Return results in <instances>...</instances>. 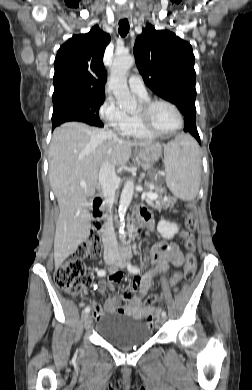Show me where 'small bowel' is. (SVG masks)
Wrapping results in <instances>:
<instances>
[{"label":"small bowel","instance_id":"small-bowel-1","mask_svg":"<svg viewBox=\"0 0 252 390\" xmlns=\"http://www.w3.org/2000/svg\"><path fill=\"white\" fill-rule=\"evenodd\" d=\"M142 216L145 226L154 229V221L151 213L143 208ZM150 257L155 267L133 281V290L121 296L107 299L103 305L98 306L93 300L91 305L95 308V319H100L105 314H122L136 320L147 318L154 313L153 304L141 305L143 297L151 287L152 279L157 273L166 271L170 267H180L184 262V257L176 244L166 245L162 242L155 244L150 251ZM181 273L174 271L170 279V285L176 291L181 281ZM122 279V274L114 272L108 281L100 280L97 289L101 295H105L107 289L114 290L117 283Z\"/></svg>","mask_w":252,"mask_h":390}]
</instances>
